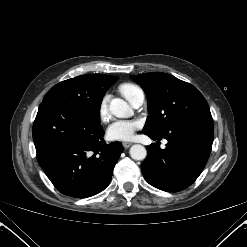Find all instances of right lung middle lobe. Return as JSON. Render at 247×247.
I'll list each match as a JSON object with an SVG mask.
<instances>
[{
	"instance_id": "right-lung-middle-lobe-1",
	"label": "right lung middle lobe",
	"mask_w": 247,
	"mask_h": 247,
	"mask_svg": "<svg viewBox=\"0 0 247 247\" xmlns=\"http://www.w3.org/2000/svg\"><path fill=\"white\" fill-rule=\"evenodd\" d=\"M107 90L95 74L77 76L53 86L41 104H66L100 118V106Z\"/></svg>"
}]
</instances>
